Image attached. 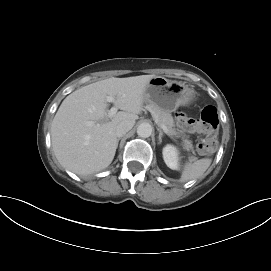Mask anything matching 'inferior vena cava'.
Here are the masks:
<instances>
[{
  "label": "inferior vena cava",
  "instance_id": "602c4592",
  "mask_svg": "<svg viewBox=\"0 0 271 271\" xmlns=\"http://www.w3.org/2000/svg\"><path fill=\"white\" fill-rule=\"evenodd\" d=\"M133 126H134V122L132 121L125 120V121L120 122L116 127V136L119 138L122 137L129 130H131Z\"/></svg>",
  "mask_w": 271,
  "mask_h": 271
}]
</instances>
